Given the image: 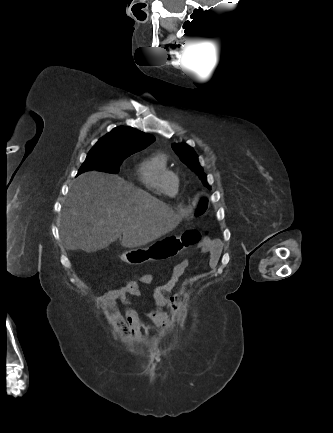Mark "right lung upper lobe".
Returning a JSON list of instances; mask_svg holds the SVG:
<instances>
[{
	"mask_svg": "<svg viewBox=\"0 0 333 433\" xmlns=\"http://www.w3.org/2000/svg\"><path fill=\"white\" fill-rule=\"evenodd\" d=\"M155 140L150 134L127 126L114 128L98 140L94 147H102L115 152L133 154L141 151Z\"/></svg>",
	"mask_w": 333,
	"mask_h": 433,
	"instance_id": "1",
	"label": "right lung upper lobe"
}]
</instances>
